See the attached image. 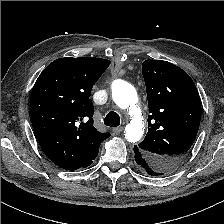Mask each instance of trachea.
Listing matches in <instances>:
<instances>
[{"mask_svg":"<svg viewBox=\"0 0 224 224\" xmlns=\"http://www.w3.org/2000/svg\"><path fill=\"white\" fill-rule=\"evenodd\" d=\"M104 124L106 126H110V127H117L120 125V117L118 115V113L116 112H109L105 119H104Z\"/></svg>","mask_w":224,"mask_h":224,"instance_id":"3493384b","label":"trachea"}]
</instances>
